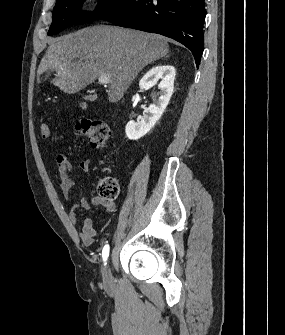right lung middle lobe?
<instances>
[{
	"instance_id": "1",
	"label": "right lung middle lobe",
	"mask_w": 285,
	"mask_h": 335,
	"mask_svg": "<svg viewBox=\"0 0 285 335\" xmlns=\"http://www.w3.org/2000/svg\"><path fill=\"white\" fill-rule=\"evenodd\" d=\"M85 0H58L54 7L52 24L48 35L61 32L70 25L91 22L108 12L120 0H103L94 12L81 11Z\"/></svg>"
}]
</instances>
